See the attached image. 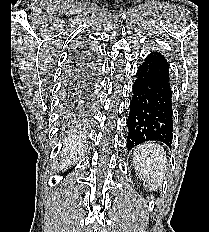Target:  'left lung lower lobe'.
Returning <instances> with one entry per match:
<instances>
[{
	"label": "left lung lower lobe",
	"mask_w": 209,
	"mask_h": 232,
	"mask_svg": "<svg viewBox=\"0 0 209 232\" xmlns=\"http://www.w3.org/2000/svg\"><path fill=\"white\" fill-rule=\"evenodd\" d=\"M136 76L127 120V148L146 141H160L171 147L173 111L167 60L159 52H151Z\"/></svg>",
	"instance_id": "1"
}]
</instances>
